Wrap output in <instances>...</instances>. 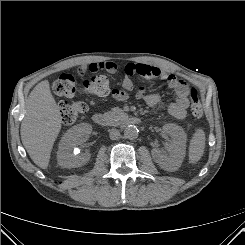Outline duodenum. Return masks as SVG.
<instances>
[{
  "mask_svg": "<svg viewBox=\"0 0 245 245\" xmlns=\"http://www.w3.org/2000/svg\"><path fill=\"white\" fill-rule=\"evenodd\" d=\"M93 121L95 124L99 126H107L109 121L106 116L100 113H96L92 117ZM123 122L126 124H132V125H138L140 124L141 120L139 117L136 116H129V115H124L122 118Z\"/></svg>",
  "mask_w": 245,
  "mask_h": 245,
  "instance_id": "1",
  "label": "duodenum"
}]
</instances>
